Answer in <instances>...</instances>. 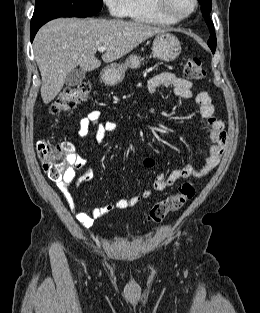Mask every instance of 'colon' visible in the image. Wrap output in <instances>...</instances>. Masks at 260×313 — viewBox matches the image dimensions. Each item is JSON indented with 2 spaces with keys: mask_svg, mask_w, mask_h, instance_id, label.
<instances>
[{
  "mask_svg": "<svg viewBox=\"0 0 260 313\" xmlns=\"http://www.w3.org/2000/svg\"><path fill=\"white\" fill-rule=\"evenodd\" d=\"M184 76L189 80H202L205 70L198 58H189L184 66ZM91 86L88 83H80L63 90L52 102L50 112L59 114L73 109L89 99ZM37 152L42 160L44 173L52 180L60 181L71 167V155L73 147L68 142L50 143L39 141ZM195 195V187L192 183H185L180 191L168 196L153 205L149 211L148 219L153 223L161 222L169 213L178 211L187 201Z\"/></svg>",
  "mask_w": 260,
  "mask_h": 313,
  "instance_id": "obj_1",
  "label": "colon"
}]
</instances>
